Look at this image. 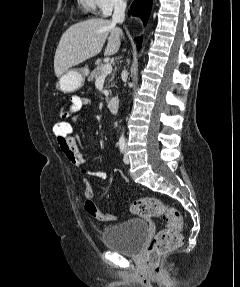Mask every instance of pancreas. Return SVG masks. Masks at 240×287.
<instances>
[{
	"mask_svg": "<svg viewBox=\"0 0 240 287\" xmlns=\"http://www.w3.org/2000/svg\"><path fill=\"white\" fill-rule=\"evenodd\" d=\"M104 63H100L96 66V68L92 71V73L89 75L88 79L90 81H93L94 79H97L98 77L103 75V67H104ZM113 78V74L112 77L110 78L109 81H112Z\"/></svg>",
	"mask_w": 240,
	"mask_h": 287,
	"instance_id": "1",
	"label": "pancreas"
}]
</instances>
